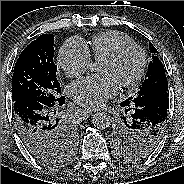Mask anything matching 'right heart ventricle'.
Listing matches in <instances>:
<instances>
[{
	"label": "right heart ventricle",
	"mask_w": 184,
	"mask_h": 184,
	"mask_svg": "<svg viewBox=\"0 0 184 184\" xmlns=\"http://www.w3.org/2000/svg\"><path fill=\"white\" fill-rule=\"evenodd\" d=\"M131 44L134 41L128 35L118 31H105L93 36L88 49L95 60H102L119 48Z\"/></svg>",
	"instance_id": "e07e8e85"
}]
</instances>
